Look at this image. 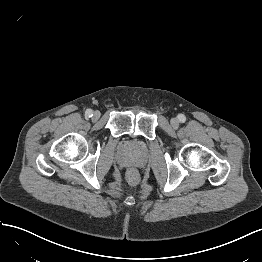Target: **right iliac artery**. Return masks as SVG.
Masks as SVG:
<instances>
[{"label": "right iliac artery", "instance_id": "82829eb1", "mask_svg": "<svg viewBox=\"0 0 262 262\" xmlns=\"http://www.w3.org/2000/svg\"><path fill=\"white\" fill-rule=\"evenodd\" d=\"M86 117H92L93 116V111L91 109H87L85 112Z\"/></svg>", "mask_w": 262, "mask_h": 262}]
</instances>
